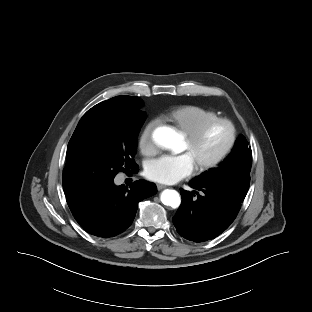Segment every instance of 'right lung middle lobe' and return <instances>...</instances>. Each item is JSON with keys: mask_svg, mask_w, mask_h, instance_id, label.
<instances>
[{"mask_svg": "<svg viewBox=\"0 0 312 312\" xmlns=\"http://www.w3.org/2000/svg\"><path fill=\"white\" fill-rule=\"evenodd\" d=\"M135 107L97 104L79 121L67 147L63 188L67 201L114 180L119 171L135 170L136 139L146 119Z\"/></svg>", "mask_w": 312, "mask_h": 312, "instance_id": "1", "label": "right lung middle lobe"}]
</instances>
